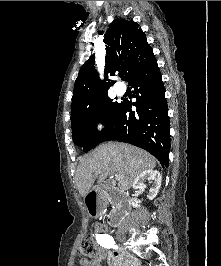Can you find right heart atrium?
I'll list each match as a JSON object with an SVG mask.
<instances>
[{"instance_id": "1", "label": "right heart atrium", "mask_w": 221, "mask_h": 266, "mask_svg": "<svg viewBox=\"0 0 221 266\" xmlns=\"http://www.w3.org/2000/svg\"><path fill=\"white\" fill-rule=\"evenodd\" d=\"M94 126L95 129L99 132L104 129V124L101 121H97Z\"/></svg>"}]
</instances>
